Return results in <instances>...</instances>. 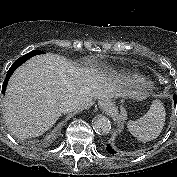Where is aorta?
Wrapping results in <instances>:
<instances>
[{"label": "aorta", "mask_w": 177, "mask_h": 177, "mask_svg": "<svg viewBox=\"0 0 177 177\" xmlns=\"http://www.w3.org/2000/svg\"><path fill=\"white\" fill-rule=\"evenodd\" d=\"M93 129L98 134H108L111 130L110 120L105 116H97L93 120Z\"/></svg>", "instance_id": "1"}]
</instances>
